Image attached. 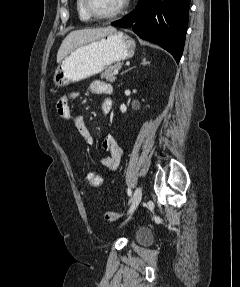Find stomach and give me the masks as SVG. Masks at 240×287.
I'll list each match as a JSON object with an SVG mask.
<instances>
[{
  "instance_id": "1",
  "label": "stomach",
  "mask_w": 240,
  "mask_h": 287,
  "mask_svg": "<svg viewBox=\"0 0 240 287\" xmlns=\"http://www.w3.org/2000/svg\"><path fill=\"white\" fill-rule=\"evenodd\" d=\"M135 43L122 31L112 32L71 51L58 65L53 82L64 87L104 71L113 63L133 57Z\"/></svg>"
}]
</instances>
